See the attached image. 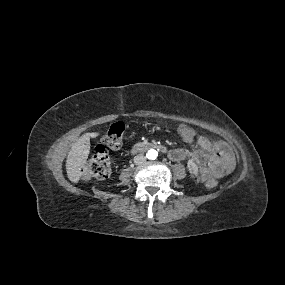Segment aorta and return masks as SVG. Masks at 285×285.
Here are the masks:
<instances>
[{
	"label": "aorta",
	"mask_w": 285,
	"mask_h": 285,
	"mask_svg": "<svg viewBox=\"0 0 285 285\" xmlns=\"http://www.w3.org/2000/svg\"><path fill=\"white\" fill-rule=\"evenodd\" d=\"M146 157L150 160H155L158 157V151L155 149H150L146 153Z\"/></svg>",
	"instance_id": "obj_1"
}]
</instances>
